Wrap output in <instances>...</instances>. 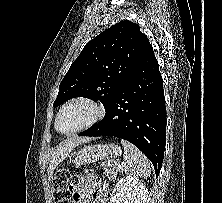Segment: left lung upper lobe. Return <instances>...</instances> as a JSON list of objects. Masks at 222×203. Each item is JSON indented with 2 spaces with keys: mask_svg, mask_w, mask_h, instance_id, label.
Listing matches in <instances>:
<instances>
[{
  "mask_svg": "<svg viewBox=\"0 0 222 203\" xmlns=\"http://www.w3.org/2000/svg\"><path fill=\"white\" fill-rule=\"evenodd\" d=\"M139 25L120 21L89 41L59 85L53 104L74 97L99 100L106 108L149 46Z\"/></svg>",
  "mask_w": 222,
  "mask_h": 203,
  "instance_id": "obj_1",
  "label": "left lung upper lobe"
}]
</instances>
